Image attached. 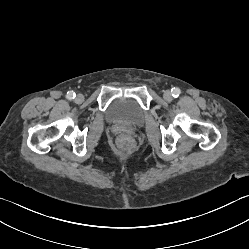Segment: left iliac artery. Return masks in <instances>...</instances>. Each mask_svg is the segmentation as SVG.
I'll return each mask as SVG.
<instances>
[{
  "label": "left iliac artery",
  "mask_w": 249,
  "mask_h": 249,
  "mask_svg": "<svg viewBox=\"0 0 249 249\" xmlns=\"http://www.w3.org/2000/svg\"><path fill=\"white\" fill-rule=\"evenodd\" d=\"M171 92H172V96L175 97V98H177L180 95V93H181V91H180L179 88H173L171 90Z\"/></svg>",
  "instance_id": "44dca946"
}]
</instances>
